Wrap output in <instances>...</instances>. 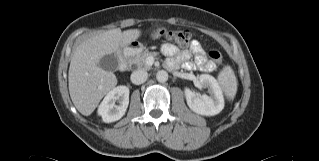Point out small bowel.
Returning a JSON list of instances; mask_svg holds the SVG:
<instances>
[{
	"label": "small bowel",
	"instance_id": "small-bowel-1",
	"mask_svg": "<svg viewBox=\"0 0 319 161\" xmlns=\"http://www.w3.org/2000/svg\"><path fill=\"white\" fill-rule=\"evenodd\" d=\"M161 51L169 57L167 65L170 68H176L182 64L187 70L199 69L209 72L215 67L210 61H207L205 52L197 41H192L188 49L181 51L172 44H165L162 46ZM192 55L195 56L194 61H190Z\"/></svg>",
	"mask_w": 319,
	"mask_h": 161
}]
</instances>
